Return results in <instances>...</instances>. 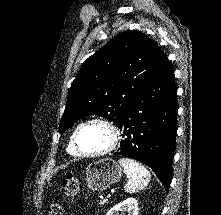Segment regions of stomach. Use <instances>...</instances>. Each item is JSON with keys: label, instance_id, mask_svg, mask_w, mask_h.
Wrapping results in <instances>:
<instances>
[{"label": "stomach", "instance_id": "obj_1", "mask_svg": "<svg viewBox=\"0 0 221 215\" xmlns=\"http://www.w3.org/2000/svg\"><path fill=\"white\" fill-rule=\"evenodd\" d=\"M86 185L92 191H102L122 177L121 166L112 159H102L88 165Z\"/></svg>", "mask_w": 221, "mask_h": 215}]
</instances>
